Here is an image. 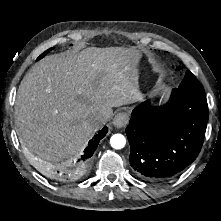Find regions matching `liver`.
<instances>
[{
	"mask_svg": "<svg viewBox=\"0 0 221 221\" xmlns=\"http://www.w3.org/2000/svg\"><path fill=\"white\" fill-rule=\"evenodd\" d=\"M140 53L134 48L89 47L45 57L20 83L15 119L24 153L39 161L67 158L80 151L112 108L138 102ZM34 154L38 158L34 157Z\"/></svg>",
	"mask_w": 221,
	"mask_h": 221,
	"instance_id": "1",
	"label": "liver"
}]
</instances>
